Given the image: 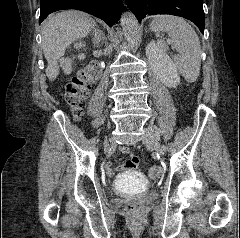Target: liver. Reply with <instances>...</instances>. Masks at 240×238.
<instances>
[{"label":"liver","instance_id":"liver-1","mask_svg":"<svg viewBox=\"0 0 240 238\" xmlns=\"http://www.w3.org/2000/svg\"><path fill=\"white\" fill-rule=\"evenodd\" d=\"M95 25L91 17L80 11H64L44 22L42 47L48 62L46 75L50 81L57 78L60 67L66 75L73 71L72 59L63 58L65 50L74 41L86 37ZM79 58L84 59V55H80Z\"/></svg>","mask_w":240,"mask_h":238}]
</instances>
